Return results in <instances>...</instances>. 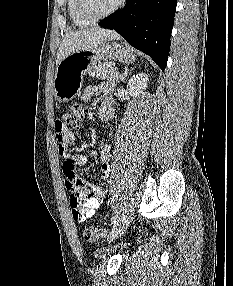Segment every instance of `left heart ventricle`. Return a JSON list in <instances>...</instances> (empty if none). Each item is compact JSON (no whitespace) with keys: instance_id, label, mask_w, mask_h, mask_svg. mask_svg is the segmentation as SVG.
Returning <instances> with one entry per match:
<instances>
[{"instance_id":"1","label":"left heart ventricle","mask_w":233,"mask_h":286,"mask_svg":"<svg viewBox=\"0 0 233 286\" xmlns=\"http://www.w3.org/2000/svg\"><path fill=\"white\" fill-rule=\"evenodd\" d=\"M118 0H86L88 12L97 16L111 9Z\"/></svg>"}]
</instances>
